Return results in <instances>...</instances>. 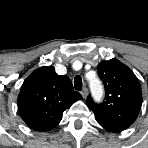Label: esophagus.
<instances>
[{
    "label": "esophagus",
    "mask_w": 148,
    "mask_h": 148,
    "mask_svg": "<svg viewBox=\"0 0 148 148\" xmlns=\"http://www.w3.org/2000/svg\"><path fill=\"white\" fill-rule=\"evenodd\" d=\"M81 94H82V96H83L84 98H86L87 95H88V89H87V88H83V90L81 91Z\"/></svg>",
    "instance_id": "34e87169"
}]
</instances>
